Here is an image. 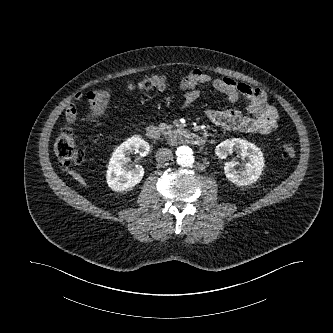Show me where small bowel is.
I'll list each match as a JSON object with an SVG mask.
<instances>
[{
    "label": "small bowel",
    "instance_id": "1",
    "mask_svg": "<svg viewBox=\"0 0 333 333\" xmlns=\"http://www.w3.org/2000/svg\"><path fill=\"white\" fill-rule=\"evenodd\" d=\"M210 85L216 91L226 96L231 103L243 96L248 100L249 116L243 115L235 108L224 110L209 109L205 111L207 120L216 125L238 130L244 133L268 134L277 127L278 112L267 101L264 91L246 83H240L232 78H213L200 69H193L179 82V88L186 90L182 105H189L200 97L199 87ZM86 95L79 93L75 101H80ZM66 121L74 125L77 120L76 103L70 102L65 111Z\"/></svg>",
    "mask_w": 333,
    "mask_h": 333
}]
</instances>
